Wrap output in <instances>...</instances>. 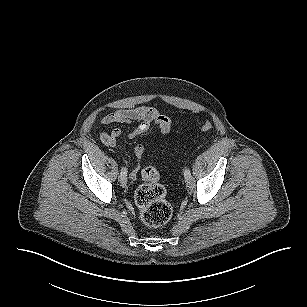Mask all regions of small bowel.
Masks as SVG:
<instances>
[{"label": "small bowel", "mask_w": 307, "mask_h": 307, "mask_svg": "<svg viewBox=\"0 0 307 307\" xmlns=\"http://www.w3.org/2000/svg\"><path fill=\"white\" fill-rule=\"evenodd\" d=\"M137 123V125L128 134L129 138H135L148 132L153 125L157 126L162 134H168L171 131L172 121L169 117L161 114L155 108L150 106H140L133 109H120L111 112L103 117V125L114 123ZM122 131L119 128H113L108 132L100 134V141L107 147H114ZM145 153V146L138 144L134 148V155L139 161ZM139 172V167H135L130 172V178L135 180Z\"/></svg>", "instance_id": "obj_1"}]
</instances>
